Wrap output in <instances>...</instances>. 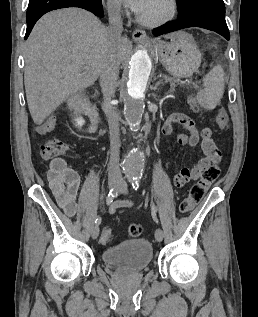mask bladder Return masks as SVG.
<instances>
[{
    "mask_svg": "<svg viewBox=\"0 0 258 317\" xmlns=\"http://www.w3.org/2000/svg\"><path fill=\"white\" fill-rule=\"evenodd\" d=\"M153 257L149 241L134 239L107 248L102 253V260L109 265L128 270H141L147 267Z\"/></svg>",
    "mask_w": 258,
    "mask_h": 317,
    "instance_id": "1",
    "label": "bladder"
}]
</instances>
